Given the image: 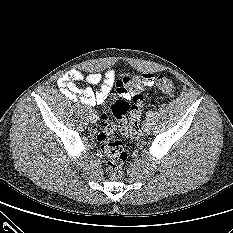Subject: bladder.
<instances>
[{"mask_svg": "<svg viewBox=\"0 0 233 233\" xmlns=\"http://www.w3.org/2000/svg\"><path fill=\"white\" fill-rule=\"evenodd\" d=\"M101 127L107 133H110L112 136H115L116 128L112 122L111 115L107 114L106 120L101 124Z\"/></svg>", "mask_w": 233, "mask_h": 233, "instance_id": "obj_1", "label": "bladder"}]
</instances>
